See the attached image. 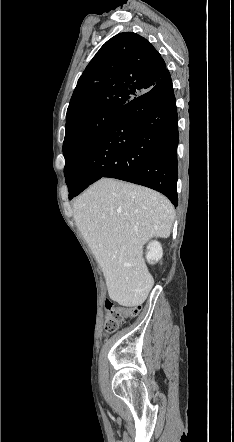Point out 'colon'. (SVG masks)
I'll return each mask as SVG.
<instances>
[{"label": "colon", "mask_w": 234, "mask_h": 442, "mask_svg": "<svg viewBox=\"0 0 234 442\" xmlns=\"http://www.w3.org/2000/svg\"><path fill=\"white\" fill-rule=\"evenodd\" d=\"M107 318L105 323V331L110 334L117 330L120 323L128 317H135L139 314L141 307L132 306L128 308L115 307L110 303L106 304Z\"/></svg>", "instance_id": "5ec220e1"}]
</instances>
